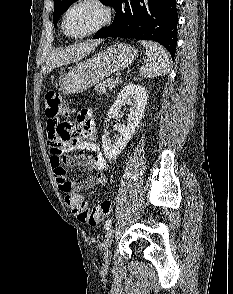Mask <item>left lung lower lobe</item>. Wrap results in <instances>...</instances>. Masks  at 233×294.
Here are the masks:
<instances>
[{"mask_svg": "<svg viewBox=\"0 0 233 294\" xmlns=\"http://www.w3.org/2000/svg\"><path fill=\"white\" fill-rule=\"evenodd\" d=\"M176 0H118L113 23L93 38L122 37L153 40L175 56L177 45Z\"/></svg>", "mask_w": 233, "mask_h": 294, "instance_id": "1", "label": "left lung lower lobe"}]
</instances>
